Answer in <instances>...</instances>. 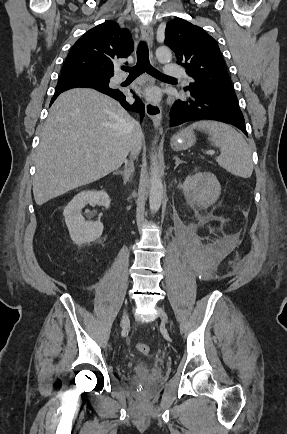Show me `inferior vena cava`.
Segmentation results:
<instances>
[{
    "instance_id": "obj_1",
    "label": "inferior vena cava",
    "mask_w": 287,
    "mask_h": 434,
    "mask_svg": "<svg viewBox=\"0 0 287 434\" xmlns=\"http://www.w3.org/2000/svg\"><path fill=\"white\" fill-rule=\"evenodd\" d=\"M142 129L138 122L133 124V141L131 147V157L135 159L141 150Z\"/></svg>"
}]
</instances>
